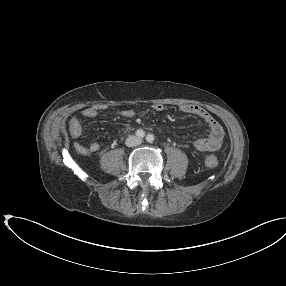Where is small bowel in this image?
<instances>
[{
  "instance_id": "small-bowel-1",
  "label": "small bowel",
  "mask_w": 286,
  "mask_h": 286,
  "mask_svg": "<svg viewBox=\"0 0 286 286\" xmlns=\"http://www.w3.org/2000/svg\"><path fill=\"white\" fill-rule=\"evenodd\" d=\"M180 110L186 114H193L199 116L207 122L210 128V134L206 138H201L195 141V147L204 152H211L218 150L221 147L222 140L224 137V130L221 124L203 107L183 103L179 106ZM155 112H162L164 110V105L161 103H156L152 106ZM102 107L100 106H90L82 110L81 116L85 119H91L99 115ZM121 115L126 118H132L135 112L132 109H124L121 111ZM66 127L69 135L74 139H79L83 135V126L79 118L73 116L70 117L66 122ZM74 149L79 155H88L90 153L97 152L100 149V142L95 139L87 144H82L76 142L74 144Z\"/></svg>"
}]
</instances>
